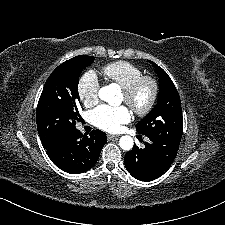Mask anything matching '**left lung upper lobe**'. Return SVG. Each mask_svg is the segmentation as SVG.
<instances>
[{
  "label": "left lung upper lobe",
  "mask_w": 225,
  "mask_h": 225,
  "mask_svg": "<svg viewBox=\"0 0 225 225\" xmlns=\"http://www.w3.org/2000/svg\"><path fill=\"white\" fill-rule=\"evenodd\" d=\"M159 77V96L156 106L136 125L137 132L146 136H167L180 142L183 116L178 91L168 74L149 61Z\"/></svg>",
  "instance_id": "left-lung-upper-lobe-1"
}]
</instances>
